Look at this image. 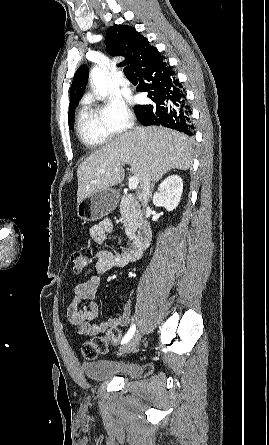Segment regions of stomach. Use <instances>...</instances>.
<instances>
[{"mask_svg":"<svg viewBox=\"0 0 269 445\" xmlns=\"http://www.w3.org/2000/svg\"><path fill=\"white\" fill-rule=\"evenodd\" d=\"M119 194L112 188L93 193L77 204V215L84 221H97L117 207Z\"/></svg>","mask_w":269,"mask_h":445,"instance_id":"1","label":"stomach"}]
</instances>
